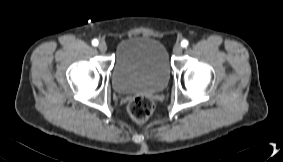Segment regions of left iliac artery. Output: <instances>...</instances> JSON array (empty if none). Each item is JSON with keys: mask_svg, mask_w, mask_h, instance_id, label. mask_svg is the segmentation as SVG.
Listing matches in <instances>:
<instances>
[{"mask_svg": "<svg viewBox=\"0 0 283 162\" xmlns=\"http://www.w3.org/2000/svg\"><path fill=\"white\" fill-rule=\"evenodd\" d=\"M181 46H182V47H187V46H188V41H187V40H183V41L181 42Z\"/></svg>", "mask_w": 283, "mask_h": 162, "instance_id": "44dca946", "label": "left iliac artery"}]
</instances>
